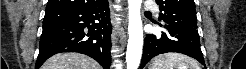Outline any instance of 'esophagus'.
Listing matches in <instances>:
<instances>
[{
	"label": "esophagus",
	"mask_w": 246,
	"mask_h": 69,
	"mask_svg": "<svg viewBox=\"0 0 246 69\" xmlns=\"http://www.w3.org/2000/svg\"><path fill=\"white\" fill-rule=\"evenodd\" d=\"M113 42H115V37L113 36Z\"/></svg>",
	"instance_id": "1"
}]
</instances>
